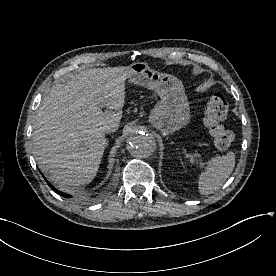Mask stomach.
<instances>
[{
  "label": "stomach",
  "mask_w": 276,
  "mask_h": 276,
  "mask_svg": "<svg viewBox=\"0 0 276 276\" xmlns=\"http://www.w3.org/2000/svg\"><path fill=\"white\" fill-rule=\"evenodd\" d=\"M129 82L155 91L161 100L149 117L150 123L169 134L185 126L190 108L182 82L175 76L152 70L145 62L130 65Z\"/></svg>",
  "instance_id": "stomach-1"
}]
</instances>
